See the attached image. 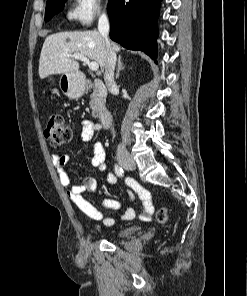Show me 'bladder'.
<instances>
[{
  "instance_id": "bladder-1",
  "label": "bladder",
  "mask_w": 247,
  "mask_h": 296,
  "mask_svg": "<svg viewBox=\"0 0 247 296\" xmlns=\"http://www.w3.org/2000/svg\"><path fill=\"white\" fill-rule=\"evenodd\" d=\"M138 230V227L137 226H127V227H124L122 229H120L117 233H116V236L118 238H124V237H128V236H131L133 235L134 233H136Z\"/></svg>"
}]
</instances>
